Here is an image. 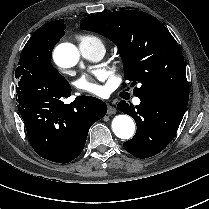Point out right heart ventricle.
<instances>
[{"label": "right heart ventricle", "mask_w": 209, "mask_h": 209, "mask_svg": "<svg viewBox=\"0 0 209 209\" xmlns=\"http://www.w3.org/2000/svg\"><path fill=\"white\" fill-rule=\"evenodd\" d=\"M94 43H101V41L92 35H83L80 37V44H94Z\"/></svg>", "instance_id": "e07e8e85"}]
</instances>
